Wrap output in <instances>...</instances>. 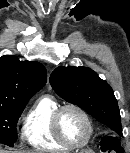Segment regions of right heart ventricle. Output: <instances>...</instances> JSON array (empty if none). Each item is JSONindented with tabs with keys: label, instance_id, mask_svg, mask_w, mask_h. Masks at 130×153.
Returning a JSON list of instances; mask_svg holds the SVG:
<instances>
[{
	"label": "right heart ventricle",
	"instance_id": "1",
	"mask_svg": "<svg viewBox=\"0 0 130 153\" xmlns=\"http://www.w3.org/2000/svg\"><path fill=\"white\" fill-rule=\"evenodd\" d=\"M59 106V102L50 95L41 96L32 105L22 127L23 140L31 148L43 152L70 150L57 140L52 130V115Z\"/></svg>",
	"mask_w": 130,
	"mask_h": 153
}]
</instances>
